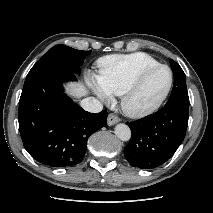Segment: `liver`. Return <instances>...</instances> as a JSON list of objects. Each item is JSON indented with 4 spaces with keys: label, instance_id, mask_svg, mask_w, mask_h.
Instances as JSON below:
<instances>
[{
    "label": "liver",
    "instance_id": "liver-1",
    "mask_svg": "<svg viewBox=\"0 0 213 213\" xmlns=\"http://www.w3.org/2000/svg\"><path fill=\"white\" fill-rule=\"evenodd\" d=\"M66 93L72 97L80 98L85 96L88 91L83 83L79 82L78 84L70 83L65 86Z\"/></svg>",
    "mask_w": 213,
    "mask_h": 213
}]
</instances>
